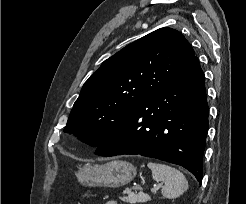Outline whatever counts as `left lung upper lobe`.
Here are the masks:
<instances>
[{
    "instance_id": "1",
    "label": "left lung upper lobe",
    "mask_w": 246,
    "mask_h": 204,
    "mask_svg": "<svg viewBox=\"0 0 246 204\" xmlns=\"http://www.w3.org/2000/svg\"><path fill=\"white\" fill-rule=\"evenodd\" d=\"M195 56L175 29L160 28L105 60L85 82L65 132L98 147L143 100Z\"/></svg>"
}]
</instances>
